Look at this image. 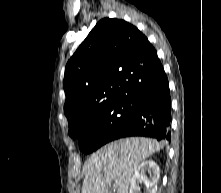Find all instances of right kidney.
I'll list each match as a JSON object with an SVG mask.
<instances>
[{
    "label": "right kidney",
    "mask_w": 221,
    "mask_h": 193,
    "mask_svg": "<svg viewBox=\"0 0 221 193\" xmlns=\"http://www.w3.org/2000/svg\"><path fill=\"white\" fill-rule=\"evenodd\" d=\"M148 171L150 177L148 178L145 175V172ZM160 177L159 166L152 160L143 162L135 170V173L131 179V186L129 193H139L140 187L139 184L144 182L146 185L147 193H156L157 183Z\"/></svg>",
    "instance_id": "right-kidney-1"
}]
</instances>
